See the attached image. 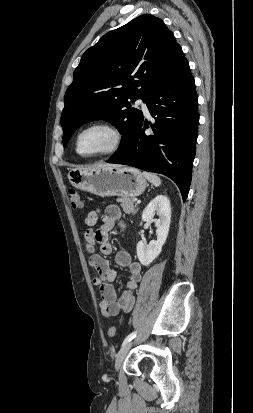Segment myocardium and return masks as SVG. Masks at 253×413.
I'll use <instances>...</instances> for the list:
<instances>
[{
	"label": "myocardium",
	"instance_id": "f54148a6",
	"mask_svg": "<svg viewBox=\"0 0 253 413\" xmlns=\"http://www.w3.org/2000/svg\"><path fill=\"white\" fill-rule=\"evenodd\" d=\"M92 128H104L107 131H109L112 135V142L106 149L98 153L82 154L79 151V139L85 131L92 129ZM123 143H124L123 131L115 123L108 121V120H95V121H92L86 124L77 132L75 136V141H74L76 153L84 158H94V157H101V156L113 154L122 147Z\"/></svg>",
	"mask_w": 253,
	"mask_h": 413
}]
</instances>
